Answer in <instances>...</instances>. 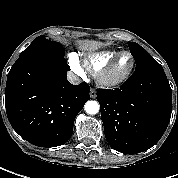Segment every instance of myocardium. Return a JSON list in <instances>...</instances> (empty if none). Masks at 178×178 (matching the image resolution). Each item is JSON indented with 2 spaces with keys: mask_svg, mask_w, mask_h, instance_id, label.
Returning a JSON list of instances; mask_svg holds the SVG:
<instances>
[{
  "mask_svg": "<svg viewBox=\"0 0 178 178\" xmlns=\"http://www.w3.org/2000/svg\"><path fill=\"white\" fill-rule=\"evenodd\" d=\"M124 54H128L132 59V65L130 69L125 74H123L118 78H110L109 77L110 70L115 65L117 60ZM135 65H136V61L133 53L130 51H121L113 59H111L102 69H100L97 72L96 81L100 86L104 88H108V89L117 88L122 84H124L131 77L135 69Z\"/></svg>",
  "mask_w": 178,
  "mask_h": 178,
  "instance_id": "myocardium-1",
  "label": "myocardium"
}]
</instances>
